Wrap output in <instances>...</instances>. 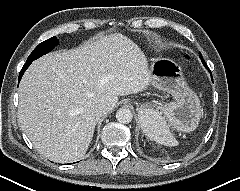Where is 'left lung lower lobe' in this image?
Instances as JSON below:
<instances>
[{"label":"left lung lower lobe","instance_id":"1","mask_svg":"<svg viewBox=\"0 0 240 191\" xmlns=\"http://www.w3.org/2000/svg\"><path fill=\"white\" fill-rule=\"evenodd\" d=\"M200 59H201L203 65L208 69V67H207V65H206V63H205V61H204V59L202 58L201 55H200ZM208 70H209V69H208ZM209 72H210V70H209ZM210 74H211V72H210Z\"/></svg>","mask_w":240,"mask_h":191}]
</instances>
